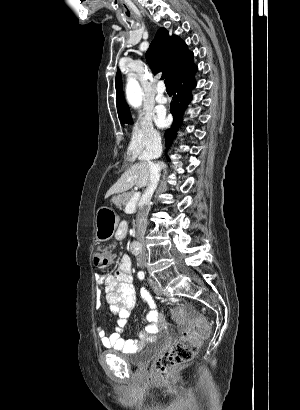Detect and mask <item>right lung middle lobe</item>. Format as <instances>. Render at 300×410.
Masks as SVG:
<instances>
[{
	"instance_id": "obj_1",
	"label": "right lung middle lobe",
	"mask_w": 300,
	"mask_h": 410,
	"mask_svg": "<svg viewBox=\"0 0 300 410\" xmlns=\"http://www.w3.org/2000/svg\"><path fill=\"white\" fill-rule=\"evenodd\" d=\"M132 120H130V119H128V120H125V121H122L123 123H130Z\"/></svg>"
}]
</instances>
